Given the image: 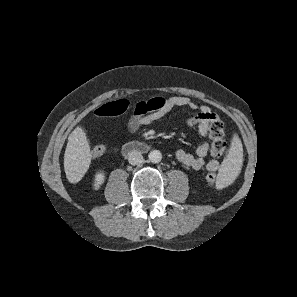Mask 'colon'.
Wrapping results in <instances>:
<instances>
[{
  "label": "colon",
  "instance_id": "1",
  "mask_svg": "<svg viewBox=\"0 0 297 297\" xmlns=\"http://www.w3.org/2000/svg\"><path fill=\"white\" fill-rule=\"evenodd\" d=\"M129 102L126 99H119L107 104H104L96 109L95 113L98 116H119L127 111ZM148 110V105L145 101L138 102L133 107L134 114H144ZM210 138L209 153L213 158H219L226 150V142L223 134V123L219 116L214 115L210 122ZM105 147L97 145L93 148L92 154L94 157H100L104 154ZM206 181L210 186H214L217 181V176L210 173L206 176Z\"/></svg>",
  "mask_w": 297,
  "mask_h": 297
}]
</instances>
